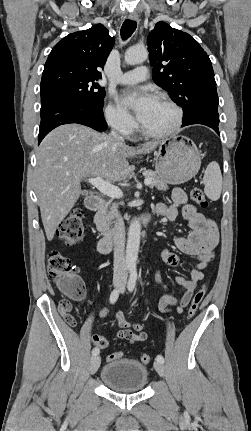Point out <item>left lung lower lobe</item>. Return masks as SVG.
I'll return each mask as SVG.
<instances>
[{"instance_id":"left-lung-lower-lobe-1","label":"left lung lower lobe","mask_w":251,"mask_h":431,"mask_svg":"<svg viewBox=\"0 0 251 431\" xmlns=\"http://www.w3.org/2000/svg\"><path fill=\"white\" fill-rule=\"evenodd\" d=\"M192 124H203L208 127H211L215 130V132L219 134L218 124H219V115H210V114H202L198 115L186 122H183L182 126L192 125Z\"/></svg>"}]
</instances>
